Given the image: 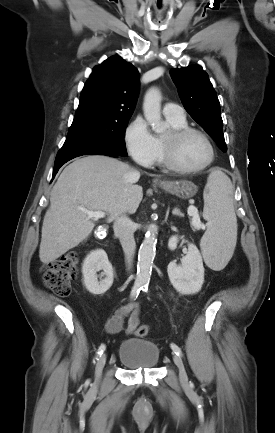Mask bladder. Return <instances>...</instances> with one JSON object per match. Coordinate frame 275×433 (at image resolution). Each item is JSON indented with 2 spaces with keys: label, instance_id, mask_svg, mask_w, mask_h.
I'll list each match as a JSON object with an SVG mask.
<instances>
[{
  "label": "bladder",
  "instance_id": "1",
  "mask_svg": "<svg viewBox=\"0 0 275 433\" xmlns=\"http://www.w3.org/2000/svg\"><path fill=\"white\" fill-rule=\"evenodd\" d=\"M160 357L158 346L144 339L127 338L119 346L117 358L119 362L140 369L154 368Z\"/></svg>",
  "mask_w": 275,
  "mask_h": 433
}]
</instances>
